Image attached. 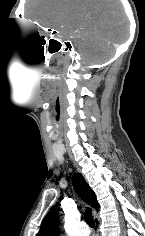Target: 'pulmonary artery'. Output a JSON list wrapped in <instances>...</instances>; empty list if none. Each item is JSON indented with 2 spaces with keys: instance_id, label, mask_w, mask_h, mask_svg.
Segmentation results:
<instances>
[{
  "instance_id": "1",
  "label": "pulmonary artery",
  "mask_w": 145,
  "mask_h": 236,
  "mask_svg": "<svg viewBox=\"0 0 145 236\" xmlns=\"http://www.w3.org/2000/svg\"><path fill=\"white\" fill-rule=\"evenodd\" d=\"M90 229L85 222L81 223L78 228V236H89Z\"/></svg>"
}]
</instances>
